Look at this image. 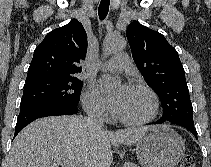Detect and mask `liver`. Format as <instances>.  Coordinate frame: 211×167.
<instances>
[{"mask_svg": "<svg viewBox=\"0 0 211 167\" xmlns=\"http://www.w3.org/2000/svg\"><path fill=\"white\" fill-rule=\"evenodd\" d=\"M152 126L111 132L93 129L88 118L78 115L35 120L15 138L9 167H58L72 161L76 167H109L111 146L136 143Z\"/></svg>", "mask_w": 211, "mask_h": 167, "instance_id": "1", "label": "liver"}]
</instances>
